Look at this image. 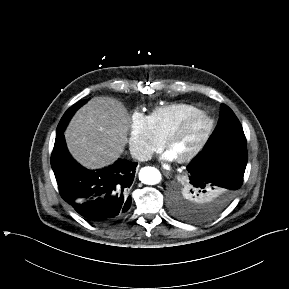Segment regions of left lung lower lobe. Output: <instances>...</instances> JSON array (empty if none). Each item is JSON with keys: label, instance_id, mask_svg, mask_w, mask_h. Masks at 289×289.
Listing matches in <instances>:
<instances>
[{"label": "left lung lower lobe", "instance_id": "1", "mask_svg": "<svg viewBox=\"0 0 289 289\" xmlns=\"http://www.w3.org/2000/svg\"><path fill=\"white\" fill-rule=\"evenodd\" d=\"M247 164L245 144H234L199 153L187 166L183 179L189 186L210 194V211L221 213L243 183Z\"/></svg>", "mask_w": 289, "mask_h": 289}]
</instances>
